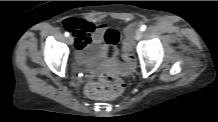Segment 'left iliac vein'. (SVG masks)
<instances>
[{
	"label": "left iliac vein",
	"mask_w": 218,
	"mask_h": 122,
	"mask_svg": "<svg viewBox=\"0 0 218 122\" xmlns=\"http://www.w3.org/2000/svg\"><path fill=\"white\" fill-rule=\"evenodd\" d=\"M142 36H143L142 32L140 30H138L135 34V39L137 41H139V40H141Z\"/></svg>",
	"instance_id": "left-iliac-vein-1"
}]
</instances>
